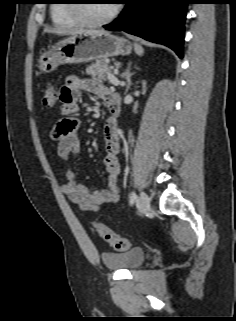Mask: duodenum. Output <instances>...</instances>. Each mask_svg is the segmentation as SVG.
Returning <instances> with one entry per match:
<instances>
[{"label": "duodenum", "instance_id": "obj_1", "mask_svg": "<svg viewBox=\"0 0 236 321\" xmlns=\"http://www.w3.org/2000/svg\"><path fill=\"white\" fill-rule=\"evenodd\" d=\"M109 111L113 117H118L121 113V100L119 95L112 94L108 100Z\"/></svg>", "mask_w": 236, "mask_h": 321}]
</instances>
